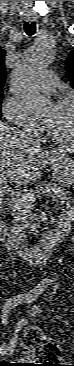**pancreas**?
<instances>
[{
  "mask_svg": "<svg viewBox=\"0 0 74 366\" xmlns=\"http://www.w3.org/2000/svg\"><path fill=\"white\" fill-rule=\"evenodd\" d=\"M32 200H23L21 198H9L11 205L16 210L12 225L9 227L11 232L18 238L26 242L31 233H35L39 228L37 216L32 212L34 202L41 195H46L54 200H60L62 203L72 202L69 191L58 187L52 182H44L36 188L26 193Z\"/></svg>",
  "mask_w": 74,
  "mask_h": 366,
  "instance_id": "cf45deb5",
  "label": "pancreas"
}]
</instances>
